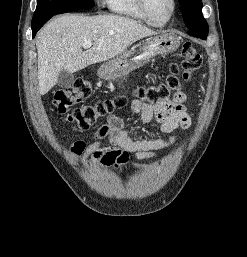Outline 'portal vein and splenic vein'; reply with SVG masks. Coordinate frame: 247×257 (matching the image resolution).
Segmentation results:
<instances>
[{"label": "portal vein and splenic vein", "instance_id": "1", "mask_svg": "<svg viewBox=\"0 0 247 257\" xmlns=\"http://www.w3.org/2000/svg\"><path fill=\"white\" fill-rule=\"evenodd\" d=\"M91 46H92L91 41H85L82 45V47L85 48V49L90 48Z\"/></svg>", "mask_w": 247, "mask_h": 257}]
</instances>
